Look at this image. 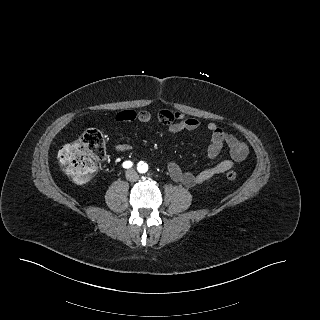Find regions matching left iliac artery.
<instances>
[{
    "instance_id": "1",
    "label": "left iliac artery",
    "mask_w": 320,
    "mask_h": 320,
    "mask_svg": "<svg viewBox=\"0 0 320 320\" xmlns=\"http://www.w3.org/2000/svg\"><path fill=\"white\" fill-rule=\"evenodd\" d=\"M137 169L139 172L145 173L148 170V165L141 161L139 162Z\"/></svg>"
}]
</instances>
